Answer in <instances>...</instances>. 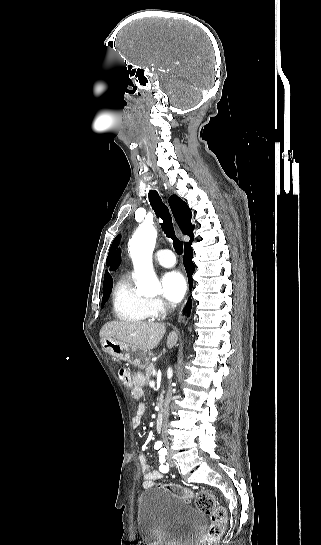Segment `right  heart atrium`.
<instances>
[{
	"mask_svg": "<svg viewBox=\"0 0 321 545\" xmlns=\"http://www.w3.org/2000/svg\"><path fill=\"white\" fill-rule=\"evenodd\" d=\"M145 303L150 316L154 319H163L169 311V307L160 300Z\"/></svg>",
	"mask_w": 321,
	"mask_h": 545,
	"instance_id": "1",
	"label": "right heart atrium"
}]
</instances>
